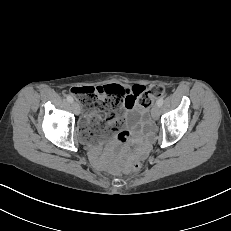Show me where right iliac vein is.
Listing matches in <instances>:
<instances>
[{
  "mask_svg": "<svg viewBox=\"0 0 231 231\" xmlns=\"http://www.w3.org/2000/svg\"><path fill=\"white\" fill-rule=\"evenodd\" d=\"M72 108H73L74 113H75L76 115H79V114H80L81 108H80V105H79L78 103L73 102V103H72Z\"/></svg>",
  "mask_w": 231,
  "mask_h": 231,
  "instance_id": "right-iliac-vein-1",
  "label": "right iliac vein"
}]
</instances>
